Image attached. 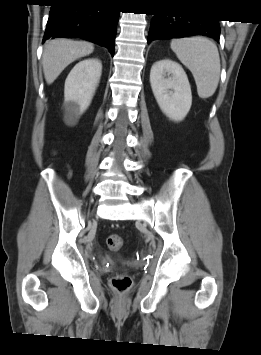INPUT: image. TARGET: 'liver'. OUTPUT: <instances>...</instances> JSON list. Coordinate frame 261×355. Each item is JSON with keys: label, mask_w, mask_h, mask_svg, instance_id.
Returning <instances> with one entry per match:
<instances>
[{"label": "liver", "mask_w": 261, "mask_h": 355, "mask_svg": "<svg viewBox=\"0 0 261 355\" xmlns=\"http://www.w3.org/2000/svg\"><path fill=\"white\" fill-rule=\"evenodd\" d=\"M94 46L85 41L55 39L47 41L42 56L43 72L48 84L53 83L60 73L73 61L91 54Z\"/></svg>", "instance_id": "obj_1"}]
</instances>
